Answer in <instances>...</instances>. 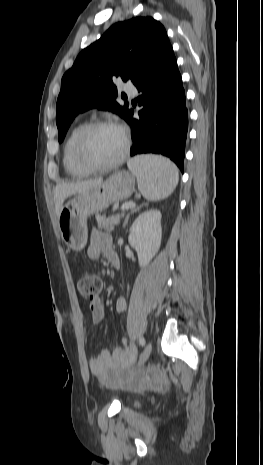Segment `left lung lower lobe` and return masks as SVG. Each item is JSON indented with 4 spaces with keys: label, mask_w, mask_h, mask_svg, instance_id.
<instances>
[{
    "label": "left lung lower lobe",
    "mask_w": 263,
    "mask_h": 465,
    "mask_svg": "<svg viewBox=\"0 0 263 465\" xmlns=\"http://www.w3.org/2000/svg\"><path fill=\"white\" fill-rule=\"evenodd\" d=\"M134 85L141 92L137 98L139 119L128 111L125 120L132 128L131 156L139 153L162 154L183 171L188 111L185 91L170 43L164 45Z\"/></svg>",
    "instance_id": "0a47b994"
}]
</instances>
